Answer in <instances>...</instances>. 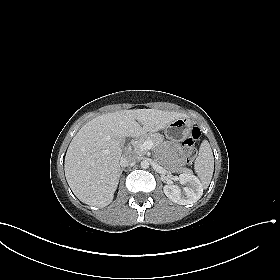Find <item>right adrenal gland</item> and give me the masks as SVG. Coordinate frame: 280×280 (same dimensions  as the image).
Masks as SVG:
<instances>
[{"instance_id": "obj_1", "label": "right adrenal gland", "mask_w": 280, "mask_h": 280, "mask_svg": "<svg viewBox=\"0 0 280 280\" xmlns=\"http://www.w3.org/2000/svg\"><path fill=\"white\" fill-rule=\"evenodd\" d=\"M124 169H121V173L123 172Z\"/></svg>"}]
</instances>
